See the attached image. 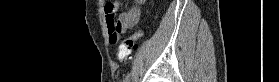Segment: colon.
<instances>
[{"label": "colon", "instance_id": "5ec220e1", "mask_svg": "<svg viewBox=\"0 0 279 82\" xmlns=\"http://www.w3.org/2000/svg\"><path fill=\"white\" fill-rule=\"evenodd\" d=\"M142 35V31L138 30L131 37L126 38L118 47L116 57L119 62H125L130 55L132 49L136 46V40Z\"/></svg>", "mask_w": 279, "mask_h": 82}]
</instances>
